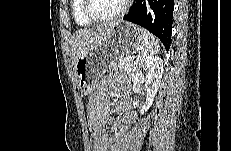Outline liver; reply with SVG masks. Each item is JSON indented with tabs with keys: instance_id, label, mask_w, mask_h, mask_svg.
<instances>
[{
	"instance_id": "obj_1",
	"label": "liver",
	"mask_w": 231,
	"mask_h": 151,
	"mask_svg": "<svg viewBox=\"0 0 231 151\" xmlns=\"http://www.w3.org/2000/svg\"><path fill=\"white\" fill-rule=\"evenodd\" d=\"M115 23L111 22L90 29H81L74 34L71 49L74 68L82 54L100 45L107 38Z\"/></svg>"
}]
</instances>
